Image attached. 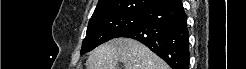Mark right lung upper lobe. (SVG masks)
<instances>
[{"label":"right lung upper lobe","instance_id":"right-lung-upper-lobe-1","mask_svg":"<svg viewBox=\"0 0 246 69\" xmlns=\"http://www.w3.org/2000/svg\"><path fill=\"white\" fill-rule=\"evenodd\" d=\"M168 0H99L91 20L119 14H142Z\"/></svg>","mask_w":246,"mask_h":69}]
</instances>
